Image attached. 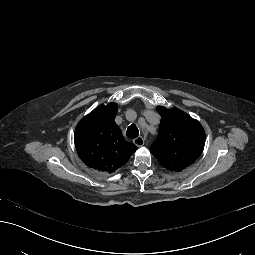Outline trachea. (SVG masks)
Segmentation results:
<instances>
[{
    "instance_id": "1",
    "label": "trachea",
    "mask_w": 255,
    "mask_h": 255,
    "mask_svg": "<svg viewBox=\"0 0 255 255\" xmlns=\"http://www.w3.org/2000/svg\"><path fill=\"white\" fill-rule=\"evenodd\" d=\"M126 134L129 138L133 139L138 137L139 130L137 129V126L135 124H131L126 131Z\"/></svg>"
}]
</instances>
